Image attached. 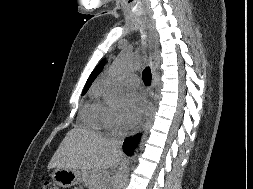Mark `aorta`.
Listing matches in <instances>:
<instances>
[{"label":"aorta","instance_id":"762f6f07","mask_svg":"<svg viewBox=\"0 0 253 189\" xmlns=\"http://www.w3.org/2000/svg\"><path fill=\"white\" fill-rule=\"evenodd\" d=\"M141 66V61L123 53L112 66L109 77L103 84L105 102L110 107H119L123 103L121 77L127 71Z\"/></svg>","mask_w":253,"mask_h":189}]
</instances>
